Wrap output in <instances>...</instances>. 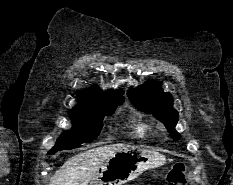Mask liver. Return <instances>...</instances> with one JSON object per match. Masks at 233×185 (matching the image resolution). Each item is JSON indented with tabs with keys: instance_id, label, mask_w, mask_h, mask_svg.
<instances>
[{
	"instance_id": "liver-1",
	"label": "liver",
	"mask_w": 233,
	"mask_h": 185,
	"mask_svg": "<svg viewBox=\"0 0 233 185\" xmlns=\"http://www.w3.org/2000/svg\"><path fill=\"white\" fill-rule=\"evenodd\" d=\"M125 144L100 146L69 158L52 176L49 185H88L98 170Z\"/></svg>"
}]
</instances>
